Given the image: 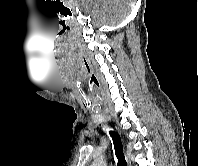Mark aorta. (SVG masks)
I'll return each mask as SVG.
<instances>
[{
    "instance_id": "aorta-1",
    "label": "aorta",
    "mask_w": 198,
    "mask_h": 166,
    "mask_svg": "<svg viewBox=\"0 0 198 166\" xmlns=\"http://www.w3.org/2000/svg\"><path fill=\"white\" fill-rule=\"evenodd\" d=\"M91 166H107L106 160L104 158H98L94 160Z\"/></svg>"
}]
</instances>
